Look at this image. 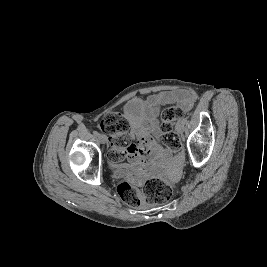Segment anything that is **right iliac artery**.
Wrapping results in <instances>:
<instances>
[{"mask_svg":"<svg viewBox=\"0 0 267 267\" xmlns=\"http://www.w3.org/2000/svg\"><path fill=\"white\" fill-rule=\"evenodd\" d=\"M93 133H94V135H96V136L99 135V133H98L97 131H94Z\"/></svg>","mask_w":267,"mask_h":267,"instance_id":"obj_1","label":"right iliac artery"}]
</instances>
